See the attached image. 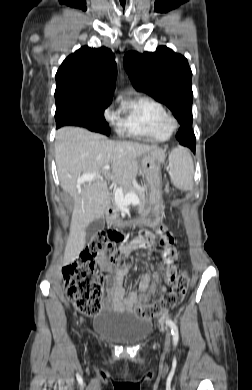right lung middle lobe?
I'll list each match as a JSON object with an SVG mask.
<instances>
[{"label": "right lung middle lobe", "instance_id": "dd1d6c3e", "mask_svg": "<svg viewBox=\"0 0 252 390\" xmlns=\"http://www.w3.org/2000/svg\"><path fill=\"white\" fill-rule=\"evenodd\" d=\"M109 103L97 102H63L56 105V127L72 125L99 132L105 135L110 134V129L103 116V111Z\"/></svg>", "mask_w": 252, "mask_h": 390}]
</instances>
